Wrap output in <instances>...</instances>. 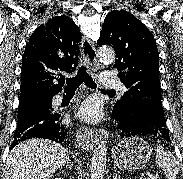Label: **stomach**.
<instances>
[{"label": "stomach", "instance_id": "stomach-1", "mask_svg": "<svg viewBox=\"0 0 183 179\" xmlns=\"http://www.w3.org/2000/svg\"><path fill=\"white\" fill-rule=\"evenodd\" d=\"M151 151L150 146L142 138H125L113 147L112 158L120 170L134 171L148 163Z\"/></svg>", "mask_w": 183, "mask_h": 179}]
</instances>
